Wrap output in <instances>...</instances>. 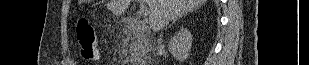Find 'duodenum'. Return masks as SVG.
Returning <instances> with one entry per match:
<instances>
[{
  "mask_svg": "<svg viewBox=\"0 0 309 65\" xmlns=\"http://www.w3.org/2000/svg\"><path fill=\"white\" fill-rule=\"evenodd\" d=\"M124 24L126 26L127 31L130 33L136 34V33H140L142 30V26L140 22L130 17H126L124 19Z\"/></svg>",
  "mask_w": 309,
  "mask_h": 65,
  "instance_id": "duodenum-1",
  "label": "duodenum"
}]
</instances>
